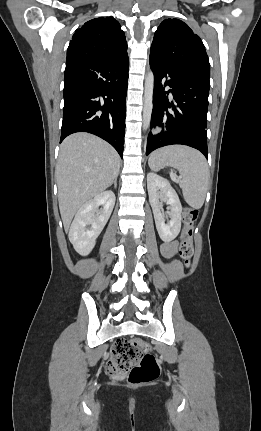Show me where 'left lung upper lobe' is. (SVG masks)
I'll return each mask as SVG.
<instances>
[{"instance_id":"obj_1","label":"left lung upper lobe","mask_w":261,"mask_h":431,"mask_svg":"<svg viewBox=\"0 0 261 431\" xmlns=\"http://www.w3.org/2000/svg\"><path fill=\"white\" fill-rule=\"evenodd\" d=\"M150 55L176 67L210 77V64L200 37L179 19L164 20L151 45Z\"/></svg>"}]
</instances>
